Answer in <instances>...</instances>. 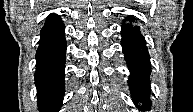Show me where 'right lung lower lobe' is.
Wrapping results in <instances>:
<instances>
[{"label":"right lung lower lobe","mask_w":193,"mask_h":112,"mask_svg":"<svg viewBox=\"0 0 193 112\" xmlns=\"http://www.w3.org/2000/svg\"><path fill=\"white\" fill-rule=\"evenodd\" d=\"M64 31L61 18L50 14L40 33L35 71L40 112H58L62 105L66 54Z\"/></svg>","instance_id":"98d812e1"}]
</instances>
